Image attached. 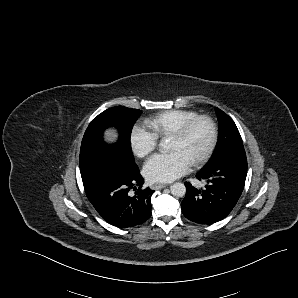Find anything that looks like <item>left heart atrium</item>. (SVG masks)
I'll return each instance as SVG.
<instances>
[{
	"instance_id": "left-heart-atrium-1",
	"label": "left heart atrium",
	"mask_w": 298,
	"mask_h": 298,
	"mask_svg": "<svg viewBox=\"0 0 298 298\" xmlns=\"http://www.w3.org/2000/svg\"><path fill=\"white\" fill-rule=\"evenodd\" d=\"M188 164L174 151L157 153L144 165L145 176L154 182H169L186 173Z\"/></svg>"
}]
</instances>
